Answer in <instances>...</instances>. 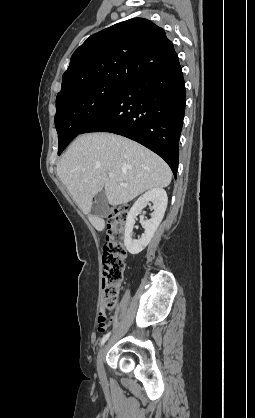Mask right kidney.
Returning <instances> with one entry per match:
<instances>
[{"label": "right kidney", "instance_id": "1", "mask_svg": "<svg viewBox=\"0 0 255 418\" xmlns=\"http://www.w3.org/2000/svg\"><path fill=\"white\" fill-rule=\"evenodd\" d=\"M149 201L153 202L151 219L143 221L145 232L142 234L141 238L137 240L133 239L132 231L136 217L142 213L143 208ZM167 203L168 198L166 191L162 188H153L143 194V196L138 198L133 204L126 218L124 235V244L129 253L133 255L138 254L149 244L164 217Z\"/></svg>", "mask_w": 255, "mask_h": 418}]
</instances>
